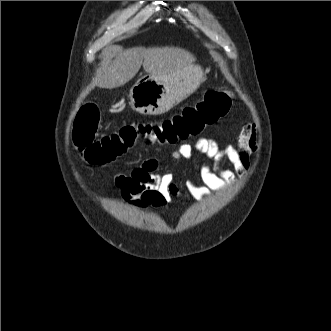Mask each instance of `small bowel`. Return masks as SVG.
I'll return each mask as SVG.
<instances>
[{"mask_svg": "<svg viewBox=\"0 0 331 331\" xmlns=\"http://www.w3.org/2000/svg\"><path fill=\"white\" fill-rule=\"evenodd\" d=\"M256 127L247 123L237 139V145H224L211 138H200L194 146L181 144L172 153L177 160H189L194 151L206 157L201 165L199 176L202 184L189 180L186 183L188 191L196 198H209L213 192L224 190L234 183L238 177L246 174L250 166V158L257 151ZM226 159L234 170L222 168L220 162ZM159 161L156 158H146L128 173L115 176V185L121 197L134 208H159L171 202L179 195L172 174H158Z\"/></svg>", "mask_w": 331, "mask_h": 331, "instance_id": "1", "label": "small bowel"}]
</instances>
